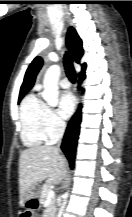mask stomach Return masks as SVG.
Instances as JSON below:
<instances>
[{
	"mask_svg": "<svg viewBox=\"0 0 132 217\" xmlns=\"http://www.w3.org/2000/svg\"><path fill=\"white\" fill-rule=\"evenodd\" d=\"M40 193H41V186L39 183H35L33 184L29 189L28 191L26 192L23 200H22V203L23 202H26L30 199H34V198H38L40 196Z\"/></svg>",
	"mask_w": 132,
	"mask_h": 217,
	"instance_id": "1",
	"label": "stomach"
}]
</instances>
